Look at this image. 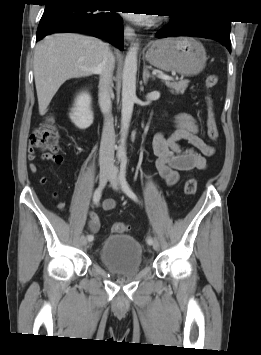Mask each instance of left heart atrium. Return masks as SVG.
<instances>
[{
    "mask_svg": "<svg viewBox=\"0 0 261 355\" xmlns=\"http://www.w3.org/2000/svg\"><path fill=\"white\" fill-rule=\"evenodd\" d=\"M125 16L135 22L138 23H143L146 22L150 19L151 15L150 14H145V13H126Z\"/></svg>",
    "mask_w": 261,
    "mask_h": 355,
    "instance_id": "obj_1",
    "label": "left heart atrium"
}]
</instances>
